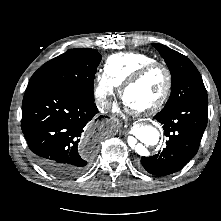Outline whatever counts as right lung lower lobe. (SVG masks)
<instances>
[{
    "label": "right lung lower lobe",
    "mask_w": 221,
    "mask_h": 221,
    "mask_svg": "<svg viewBox=\"0 0 221 221\" xmlns=\"http://www.w3.org/2000/svg\"><path fill=\"white\" fill-rule=\"evenodd\" d=\"M92 100L78 97L57 87L34 83L23 98L22 131L36 162L57 178H72L89 166L95 141L82 147L85 126L104 118ZM98 132V131H97Z\"/></svg>",
    "instance_id": "right-lung-lower-lobe-1"
}]
</instances>
